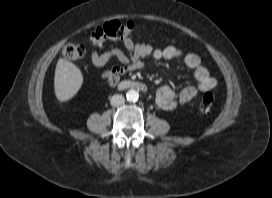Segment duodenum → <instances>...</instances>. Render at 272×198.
<instances>
[{"label": "duodenum", "mask_w": 272, "mask_h": 198, "mask_svg": "<svg viewBox=\"0 0 272 198\" xmlns=\"http://www.w3.org/2000/svg\"><path fill=\"white\" fill-rule=\"evenodd\" d=\"M118 88L119 89H136V90H140V91H146V85L142 82H138V81H131V80H127V81H122L118 84Z\"/></svg>", "instance_id": "obj_1"}]
</instances>
